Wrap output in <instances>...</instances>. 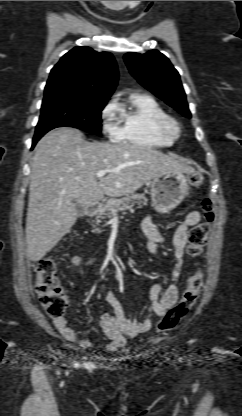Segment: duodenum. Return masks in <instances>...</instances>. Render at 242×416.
<instances>
[{
    "label": "duodenum",
    "mask_w": 242,
    "mask_h": 416,
    "mask_svg": "<svg viewBox=\"0 0 242 416\" xmlns=\"http://www.w3.org/2000/svg\"><path fill=\"white\" fill-rule=\"evenodd\" d=\"M98 208H99L98 203L91 204L86 211V216L92 217L95 214V212L98 210Z\"/></svg>",
    "instance_id": "410a0bca"
}]
</instances>
